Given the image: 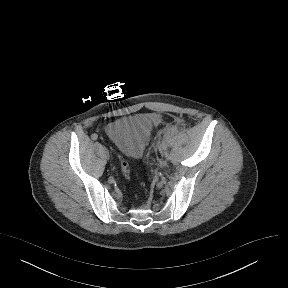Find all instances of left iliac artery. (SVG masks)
<instances>
[{"instance_id": "44dca946", "label": "left iliac artery", "mask_w": 288, "mask_h": 288, "mask_svg": "<svg viewBox=\"0 0 288 288\" xmlns=\"http://www.w3.org/2000/svg\"><path fill=\"white\" fill-rule=\"evenodd\" d=\"M170 139V135H165L163 139V143H166Z\"/></svg>"}]
</instances>
